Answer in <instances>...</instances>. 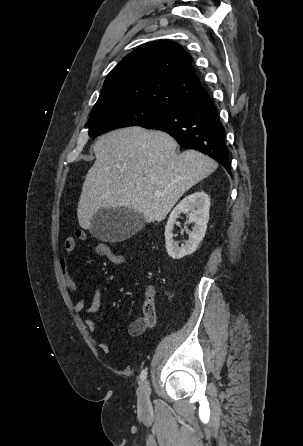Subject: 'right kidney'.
<instances>
[{
	"label": "right kidney",
	"instance_id": "obj_1",
	"mask_svg": "<svg viewBox=\"0 0 303 446\" xmlns=\"http://www.w3.org/2000/svg\"><path fill=\"white\" fill-rule=\"evenodd\" d=\"M210 199L208 195L201 191L186 196L171 212L165 227V245L167 253L173 259H181L192 254L205 236L207 223L209 220ZM185 213L189 217L190 223H195L192 231L187 233L189 239L185 245L179 247L178 242L173 240V228L177 218Z\"/></svg>",
	"mask_w": 303,
	"mask_h": 446
}]
</instances>
